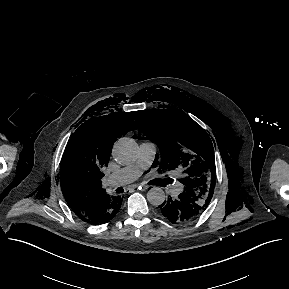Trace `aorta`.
Listing matches in <instances>:
<instances>
[{
  "mask_svg": "<svg viewBox=\"0 0 289 289\" xmlns=\"http://www.w3.org/2000/svg\"><path fill=\"white\" fill-rule=\"evenodd\" d=\"M138 155V145L130 138H120L115 142L112 149L113 158L121 163L126 164L134 161ZM147 200L154 206L161 205L165 200V193L160 187H153L147 193Z\"/></svg>",
  "mask_w": 289,
  "mask_h": 289,
  "instance_id": "aorta-1",
  "label": "aorta"
}]
</instances>
